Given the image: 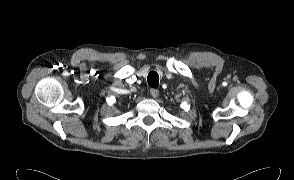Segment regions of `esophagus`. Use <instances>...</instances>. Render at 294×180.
I'll list each match as a JSON object with an SVG mask.
<instances>
[{
	"instance_id": "esophagus-1",
	"label": "esophagus",
	"mask_w": 294,
	"mask_h": 180,
	"mask_svg": "<svg viewBox=\"0 0 294 180\" xmlns=\"http://www.w3.org/2000/svg\"><path fill=\"white\" fill-rule=\"evenodd\" d=\"M150 95L153 97V98H157L159 96V90L158 89H155V88H151L150 89Z\"/></svg>"
}]
</instances>
